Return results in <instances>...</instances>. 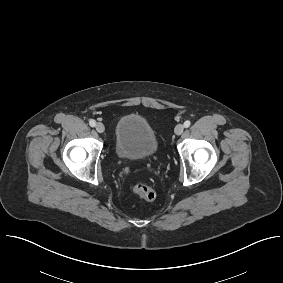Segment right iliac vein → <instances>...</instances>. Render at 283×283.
Masks as SVG:
<instances>
[{"label":"right iliac vein","mask_w":283,"mask_h":283,"mask_svg":"<svg viewBox=\"0 0 283 283\" xmlns=\"http://www.w3.org/2000/svg\"><path fill=\"white\" fill-rule=\"evenodd\" d=\"M98 133H103L105 131V127L102 123H97L95 126Z\"/></svg>","instance_id":"63e3f726"}]
</instances>
